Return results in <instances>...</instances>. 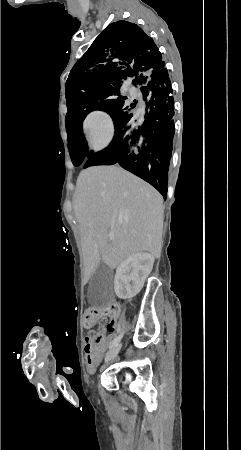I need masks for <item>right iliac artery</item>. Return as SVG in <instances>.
I'll return each instance as SVG.
<instances>
[{
    "label": "right iliac artery",
    "instance_id": "1",
    "mask_svg": "<svg viewBox=\"0 0 241 450\" xmlns=\"http://www.w3.org/2000/svg\"><path fill=\"white\" fill-rule=\"evenodd\" d=\"M122 338V334L118 335L116 338H114V340L111 342L110 344V348L116 346L118 344V342L120 341V339Z\"/></svg>",
    "mask_w": 241,
    "mask_h": 450
}]
</instances>
